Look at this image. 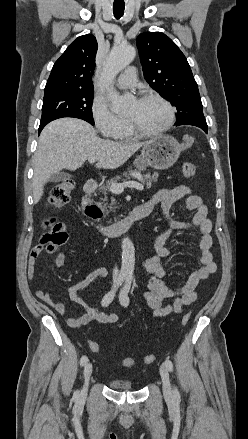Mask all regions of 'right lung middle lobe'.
<instances>
[{
	"mask_svg": "<svg viewBox=\"0 0 248 439\" xmlns=\"http://www.w3.org/2000/svg\"><path fill=\"white\" fill-rule=\"evenodd\" d=\"M92 103L93 89L44 95L40 124L62 117H75L94 125Z\"/></svg>",
	"mask_w": 248,
	"mask_h": 439,
	"instance_id": "obj_1",
	"label": "right lung middle lobe"
}]
</instances>
